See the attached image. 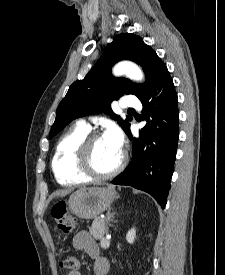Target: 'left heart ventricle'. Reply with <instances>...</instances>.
<instances>
[{
  "instance_id": "1",
  "label": "left heart ventricle",
  "mask_w": 225,
  "mask_h": 275,
  "mask_svg": "<svg viewBox=\"0 0 225 275\" xmlns=\"http://www.w3.org/2000/svg\"><path fill=\"white\" fill-rule=\"evenodd\" d=\"M121 158V151L112 147L104 137L97 139L92 145L91 164L101 174L112 171Z\"/></svg>"
}]
</instances>
